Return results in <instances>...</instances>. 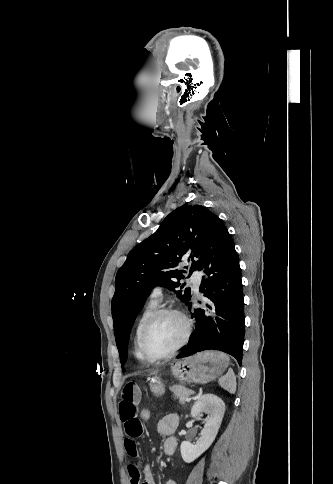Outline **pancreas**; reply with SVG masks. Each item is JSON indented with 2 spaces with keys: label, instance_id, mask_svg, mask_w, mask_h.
<instances>
[{
  "label": "pancreas",
  "instance_id": "cf45deb5",
  "mask_svg": "<svg viewBox=\"0 0 333 484\" xmlns=\"http://www.w3.org/2000/svg\"><path fill=\"white\" fill-rule=\"evenodd\" d=\"M170 389L173 392L174 397L177 398L180 403H184L186 399L193 394L191 389H188L183 385H174L170 387Z\"/></svg>",
  "mask_w": 333,
  "mask_h": 484
}]
</instances>
